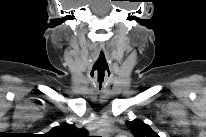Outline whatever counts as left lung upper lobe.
Masks as SVG:
<instances>
[{"instance_id": "obj_1", "label": "left lung upper lobe", "mask_w": 206, "mask_h": 137, "mask_svg": "<svg viewBox=\"0 0 206 137\" xmlns=\"http://www.w3.org/2000/svg\"><path fill=\"white\" fill-rule=\"evenodd\" d=\"M126 125L135 137H158L149 125L140 120L127 121Z\"/></svg>"}]
</instances>
